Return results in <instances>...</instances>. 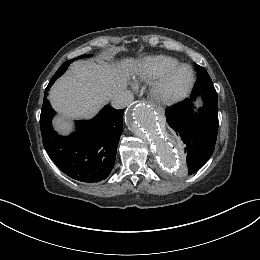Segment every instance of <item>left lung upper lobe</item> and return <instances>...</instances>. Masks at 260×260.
<instances>
[{
  "label": "left lung upper lobe",
  "instance_id": "1",
  "mask_svg": "<svg viewBox=\"0 0 260 260\" xmlns=\"http://www.w3.org/2000/svg\"><path fill=\"white\" fill-rule=\"evenodd\" d=\"M195 67L197 69L198 75H197V82L192 91V96L203 94V93L216 92L212 80L209 74L207 73V71L203 67L197 64H195Z\"/></svg>",
  "mask_w": 260,
  "mask_h": 260
}]
</instances>
